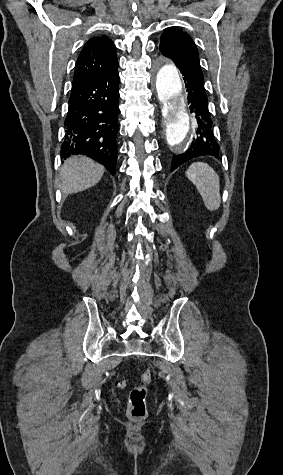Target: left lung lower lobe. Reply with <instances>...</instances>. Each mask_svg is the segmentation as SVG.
Listing matches in <instances>:
<instances>
[{
  "label": "left lung lower lobe",
  "mask_w": 283,
  "mask_h": 475,
  "mask_svg": "<svg viewBox=\"0 0 283 475\" xmlns=\"http://www.w3.org/2000/svg\"><path fill=\"white\" fill-rule=\"evenodd\" d=\"M178 68L186 83L188 103L191 113H193L196 133L186 152L172 158L171 171L192 158L204 155L219 158L220 153V146L213 133V121L208 110V98L201 68L192 66H179Z\"/></svg>",
  "instance_id": "0a47b994"
}]
</instances>
